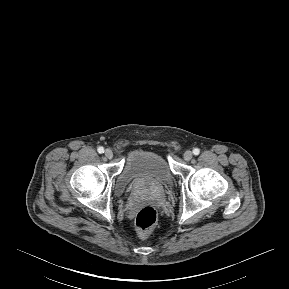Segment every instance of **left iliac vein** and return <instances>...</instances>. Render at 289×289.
<instances>
[{"mask_svg": "<svg viewBox=\"0 0 289 289\" xmlns=\"http://www.w3.org/2000/svg\"><path fill=\"white\" fill-rule=\"evenodd\" d=\"M193 157V154L191 151H186L183 155V158L186 160V161H190Z\"/></svg>", "mask_w": 289, "mask_h": 289, "instance_id": "obj_1", "label": "left iliac vein"}]
</instances>
